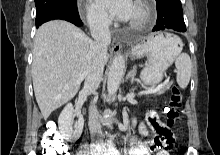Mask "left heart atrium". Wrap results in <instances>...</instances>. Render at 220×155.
<instances>
[{
  "label": "left heart atrium",
  "mask_w": 220,
  "mask_h": 155,
  "mask_svg": "<svg viewBox=\"0 0 220 155\" xmlns=\"http://www.w3.org/2000/svg\"><path fill=\"white\" fill-rule=\"evenodd\" d=\"M97 4L113 17L120 20H128L134 4L132 0H96Z\"/></svg>",
  "instance_id": "1"
}]
</instances>
